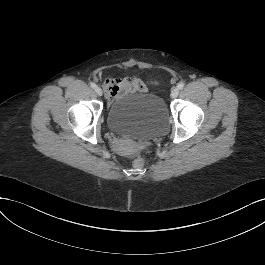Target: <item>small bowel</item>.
<instances>
[{
  "label": "small bowel",
  "mask_w": 265,
  "mask_h": 265,
  "mask_svg": "<svg viewBox=\"0 0 265 265\" xmlns=\"http://www.w3.org/2000/svg\"><path fill=\"white\" fill-rule=\"evenodd\" d=\"M107 97L112 100L132 92L146 91V84L137 77L108 78L104 83Z\"/></svg>",
  "instance_id": "c3829d8e"
}]
</instances>
